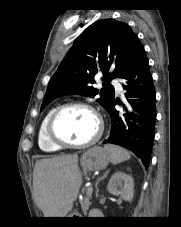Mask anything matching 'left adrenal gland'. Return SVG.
Returning <instances> with one entry per match:
<instances>
[{
	"mask_svg": "<svg viewBox=\"0 0 181 227\" xmlns=\"http://www.w3.org/2000/svg\"><path fill=\"white\" fill-rule=\"evenodd\" d=\"M108 172H109V170H107L102 177L98 178L97 185H98L100 180H103L104 178H106ZM96 195L98 196V188H97V191H96Z\"/></svg>",
	"mask_w": 181,
	"mask_h": 227,
	"instance_id": "1",
	"label": "left adrenal gland"
}]
</instances>
